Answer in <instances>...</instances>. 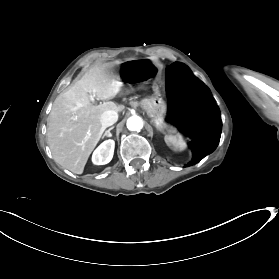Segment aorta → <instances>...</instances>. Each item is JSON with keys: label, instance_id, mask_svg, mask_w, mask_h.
I'll use <instances>...</instances> for the list:
<instances>
[{"label": "aorta", "instance_id": "1", "mask_svg": "<svg viewBox=\"0 0 279 279\" xmlns=\"http://www.w3.org/2000/svg\"><path fill=\"white\" fill-rule=\"evenodd\" d=\"M143 127V121L139 116H131L127 120V128L130 131H140Z\"/></svg>", "mask_w": 279, "mask_h": 279}]
</instances>
